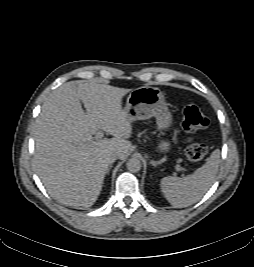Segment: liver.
<instances>
[{
    "mask_svg": "<svg viewBox=\"0 0 254 267\" xmlns=\"http://www.w3.org/2000/svg\"><path fill=\"white\" fill-rule=\"evenodd\" d=\"M130 91L71 81L46 98L32 131L33 164L50 196L61 204L91 207L101 193L111 155L127 156L132 125L122 98ZM98 129L113 138L94 141Z\"/></svg>",
    "mask_w": 254,
    "mask_h": 267,
    "instance_id": "liver-1",
    "label": "liver"
}]
</instances>
